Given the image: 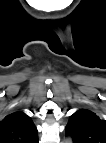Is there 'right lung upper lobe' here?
<instances>
[{
	"instance_id": "1",
	"label": "right lung upper lobe",
	"mask_w": 106,
	"mask_h": 143,
	"mask_svg": "<svg viewBox=\"0 0 106 143\" xmlns=\"http://www.w3.org/2000/svg\"><path fill=\"white\" fill-rule=\"evenodd\" d=\"M37 128L28 115L16 111L0 120V143H34Z\"/></svg>"
}]
</instances>
